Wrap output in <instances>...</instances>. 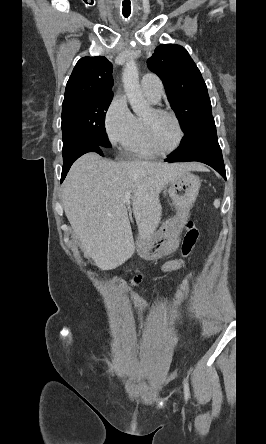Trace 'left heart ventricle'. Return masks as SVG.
<instances>
[{"label": "left heart ventricle", "mask_w": 266, "mask_h": 444, "mask_svg": "<svg viewBox=\"0 0 266 444\" xmlns=\"http://www.w3.org/2000/svg\"><path fill=\"white\" fill-rule=\"evenodd\" d=\"M151 127L152 137L159 148L169 150L178 139V129L175 121L166 115H155L151 110L143 116Z\"/></svg>", "instance_id": "1"}]
</instances>
